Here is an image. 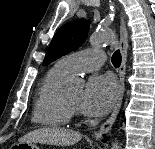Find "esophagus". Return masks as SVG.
Wrapping results in <instances>:
<instances>
[{"label":"esophagus","instance_id":"1","mask_svg":"<svg viewBox=\"0 0 155 149\" xmlns=\"http://www.w3.org/2000/svg\"><path fill=\"white\" fill-rule=\"evenodd\" d=\"M120 40H119V48L121 52V65L119 67V93L116 105L111 116L100 126L98 131L94 133V137L99 139L103 134L108 133L117 118L119 113L123 96L125 90V71H126V61H127V49H128V32L126 28L125 17L122 12H120Z\"/></svg>","mask_w":155,"mask_h":149}]
</instances>
